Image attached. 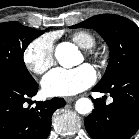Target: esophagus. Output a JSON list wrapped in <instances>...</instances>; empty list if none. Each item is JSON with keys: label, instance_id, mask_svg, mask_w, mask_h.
Segmentation results:
<instances>
[{"label": "esophagus", "instance_id": "obj_1", "mask_svg": "<svg viewBox=\"0 0 139 139\" xmlns=\"http://www.w3.org/2000/svg\"><path fill=\"white\" fill-rule=\"evenodd\" d=\"M75 99H76V97H66V98H65V101H66L67 103H71V102H73Z\"/></svg>", "mask_w": 139, "mask_h": 139}]
</instances>
